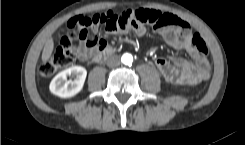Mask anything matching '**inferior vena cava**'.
<instances>
[{"label": "inferior vena cava", "instance_id": "1", "mask_svg": "<svg viewBox=\"0 0 245 145\" xmlns=\"http://www.w3.org/2000/svg\"><path fill=\"white\" fill-rule=\"evenodd\" d=\"M119 64H120V59L118 56H112L107 61V65L111 68L117 67Z\"/></svg>", "mask_w": 245, "mask_h": 145}]
</instances>
